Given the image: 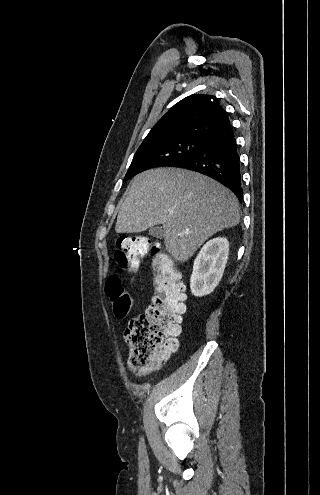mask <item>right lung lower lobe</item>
I'll list each match as a JSON object with an SVG mask.
<instances>
[{
    "label": "right lung lower lobe",
    "mask_w": 320,
    "mask_h": 495,
    "mask_svg": "<svg viewBox=\"0 0 320 495\" xmlns=\"http://www.w3.org/2000/svg\"><path fill=\"white\" fill-rule=\"evenodd\" d=\"M175 167L193 170L219 181L242 202L238 145L231 125L211 134L192 157Z\"/></svg>",
    "instance_id": "1"
}]
</instances>
